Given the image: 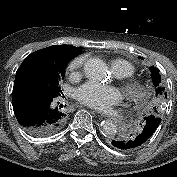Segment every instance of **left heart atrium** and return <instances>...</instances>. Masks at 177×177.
Listing matches in <instances>:
<instances>
[{
    "instance_id": "39dd6f15",
    "label": "left heart atrium",
    "mask_w": 177,
    "mask_h": 177,
    "mask_svg": "<svg viewBox=\"0 0 177 177\" xmlns=\"http://www.w3.org/2000/svg\"><path fill=\"white\" fill-rule=\"evenodd\" d=\"M76 98L88 107L99 111H107L122 101L123 94L116 87L87 82L77 89Z\"/></svg>"
}]
</instances>
